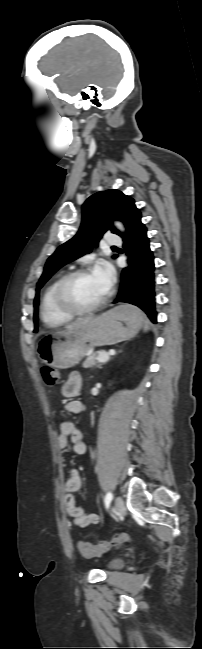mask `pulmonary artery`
<instances>
[{"instance_id":"pulmonary-artery-1","label":"pulmonary artery","mask_w":202,"mask_h":649,"mask_svg":"<svg viewBox=\"0 0 202 649\" xmlns=\"http://www.w3.org/2000/svg\"><path fill=\"white\" fill-rule=\"evenodd\" d=\"M121 242H122V239L117 235L110 234V235H108L106 237V243H107V245H109L111 247L120 245Z\"/></svg>"}]
</instances>
